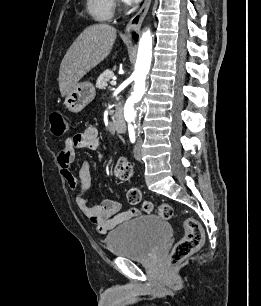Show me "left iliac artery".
<instances>
[{
    "instance_id": "1",
    "label": "left iliac artery",
    "mask_w": 261,
    "mask_h": 306,
    "mask_svg": "<svg viewBox=\"0 0 261 306\" xmlns=\"http://www.w3.org/2000/svg\"><path fill=\"white\" fill-rule=\"evenodd\" d=\"M130 140L132 143H134L135 141V135L134 134H130Z\"/></svg>"
}]
</instances>
